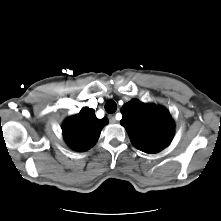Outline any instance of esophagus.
Wrapping results in <instances>:
<instances>
[{
	"mask_svg": "<svg viewBox=\"0 0 221 221\" xmlns=\"http://www.w3.org/2000/svg\"><path fill=\"white\" fill-rule=\"evenodd\" d=\"M108 118H109L110 123H112V124H114V123L117 122V120H116V118H115V115H109Z\"/></svg>",
	"mask_w": 221,
	"mask_h": 221,
	"instance_id": "obj_1",
	"label": "esophagus"
}]
</instances>
